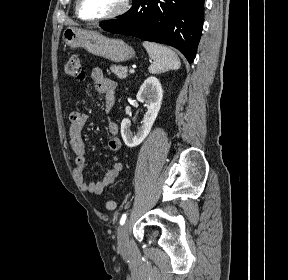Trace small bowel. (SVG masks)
<instances>
[{"label": "small bowel", "mask_w": 288, "mask_h": 280, "mask_svg": "<svg viewBox=\"0 0 288 280\" xmlns=\"http://www.w3.org/2000/svg\"><path fill=\"white\" fill-rule=\"evenodd\" d=\"M90 78L95 84L97 92L103 94L106 99V112L111 113L117 90V84L107 78L100 68H93L90 71ZM89 116L79 110H74L69 115V125L67 134L69 136V147L75 155L74 176L80 189L84 192L101 194L110 184H112L123 170V164L119 158L121 140L118 137L119 126L108 116L107 130L111 135L108 147L112 152V167L105 173L104 177L96 182H88L84 178L86 168L87 146L82 138V130L87 124Z\"/></svg>", "instance_id": "1"}]
</instances>
